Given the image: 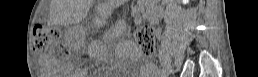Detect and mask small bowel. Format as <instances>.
I'll list each match as a JSON object with an SVG mask.
<instances>
[{
	"label": "small bowel",
	"instance_id": "c3829d8e",
	"mask_svg": "<svg viewBox=\"0 0 258 77\" xmlns=\"http://www.w3.org/2000/svg\"><path fill=\"white\" fill-rule=\"evenodd\" d=\"M143 73L146 74L147 76L154 74L155 72L152 71V67H149L148 65L143 66Z\"/></svg>",
	"mask_w": 258,
	"mask_h": 77
}]
</instances>
